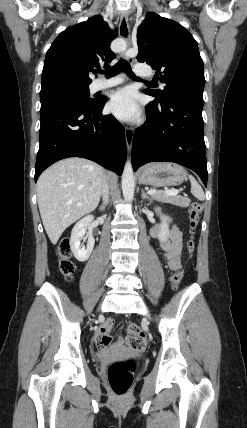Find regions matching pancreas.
<instances>
[{"mask_svg": "<svg viewBox=\"0 0 247 428\" xmlns=\"http://www.w3.org/2000/svg\"><path fill=\"white\" fill-rule=\"evenodd\" d=\"M152 198L163 203H170L180 207H188L190 205V200L187 197L165 195L161 191H159V193L153 194Z\"/></svg>", "mask_w": 247, "mask_h": 428, "instance_id": "cf45deb5", "label": "pancreas"}]
</instances>
